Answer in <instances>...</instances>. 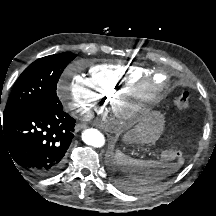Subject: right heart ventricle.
<instances>
[{
    "label": "right heart ventricle",
    "mask_w": 216,
    "mask_h": 216,
    "mask_svg": "<svg viewBox=\"0 0 216 216\" xmlns=\"http://www.w3.org/2000/svg\"><path fill=\"white\" fill-rule=\"evenodd\" d=\"M90 80L104 99H111L129 91L151 75V70L125 63H103L90 68Z\"/></svg>",
    "instance_id": "right-heart-ventricle-1"
}]
</instances>
